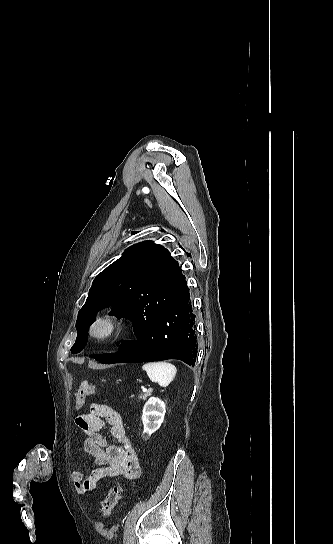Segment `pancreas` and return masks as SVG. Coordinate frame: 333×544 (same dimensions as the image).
Segmentation results:
<instances>
[{"label": "pancreas", "instance_id": "obj_1", "mask_svg": "<svg viewBox=\"0 0 333 544\" xmlns=\"http://www.w3.org/2000/svg\"><path fill=\"white\" fill-rule=\"evenodd\" d=\"M151 395V391H147L144 395L139 396V399L145 400L147 396Z\"/></svg>", "mask_w": 333, "mask_h": 544}]
</instances>
